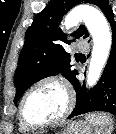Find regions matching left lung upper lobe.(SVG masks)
I'll return each instance as SVG.
<instances>
[{"label": "left lung upper lobe", "instance_id": "1", "mask_svg": "<svg viewBox=\"0 0 116 134\" xmlns=\"http://www.w3.org/2000/svg\"><path fill=\"white\" fill-rule=\"evenodd\" d=\"M81 0H51L33 20L25 33V43L19 56L14 85L17 89L14 103L35 82L61 73L72 82L77 70H72L70 54L64 49L69 44L66 34L59 28L63 16ZM97 5L104 14L111 8L108 0H84ZM76 39L87 38L89 33L84 25L72 33Z\"/></svg>", "mask_w": 116, "mask_h": 134}]
</instances>
